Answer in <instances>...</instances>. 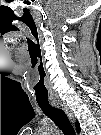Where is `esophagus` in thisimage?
Returning <instances> with one entry per match:
<instances>
[{
  "label": "esophagus",
  "mask_w": 101,
  "mask_h": 135,
  "mask_svg": "<svg viewBox=\"0 0 101 135\" xmlns=\"http://www.w3.org/2000/svg\"><path fill=\"white\" fill-rule=\"evenodd\" d=\"M52 105L57 107V108H61L62 110H64V112L66 113L68 118L73 123L75 122V118H74V114H73L72 110L68 107V105L64 101H62V100H55V101H52Z\"/></svg>",
  "instance_id": "34e87169"
}]
</instances>
